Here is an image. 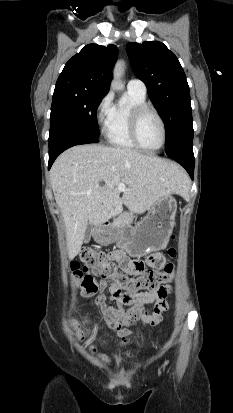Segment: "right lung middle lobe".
Masks as SVG:
<instances>
[{
    "mask_svg": "<svg viewBox=\"0 0 233 413\" xmlns=\"http://www.w3.org/2000/svg\"><path fill=\"white\" fill-rule=\"evenodd\" d=\"M105 95L74 87L55 88L49 139L64 132L99 137L96 112Z\"/></svg>",
    "mask_w": 233,
    "mask_h": 413,
    "instance_id": "obj_1",
    "label": "right lung middle lobe"
}]
</instances>
